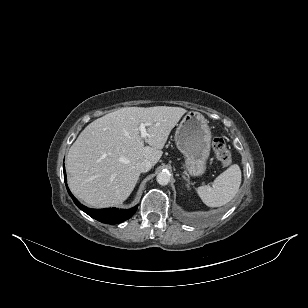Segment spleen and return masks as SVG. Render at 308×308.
Here are the masks:
<instances>
[{
	"mask_svg": "<svg viewBox=\"0 0 308 308\" xmlns=\"http://www.w3.org/2000/svg\"><path fill=\"white\" fill-rule=\"evenodd\" d=\"M241 184V170L237 164L231 165L213 182L196 189L199 197L209 207H220L230 202L238 193Z\"/></svg>",
	"mask_w": 308,
	"mask_h": 308,
	"instance_id": "spleen-1",
	"label": "spleen"
}]
</instances>
